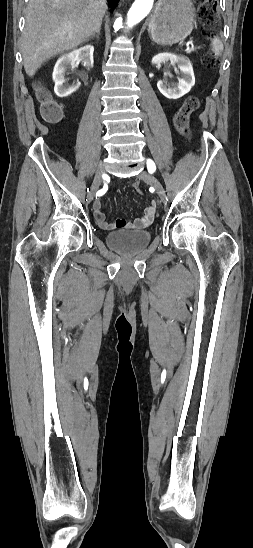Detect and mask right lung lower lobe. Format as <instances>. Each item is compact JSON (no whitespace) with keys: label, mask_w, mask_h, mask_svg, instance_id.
Returning a JSON list of instances; mask_svg holds the SVG:
<instances>
[{"label":"right lung lower lobe","mask_w":253,"mask_h":548,"mask_svg":"<svg viewBox=\"0 0 253 548\" xmlns=\"http://www.w3.org/2000/svg\"><path fill=\"white\" fill-rule=\"evenodd\" d=\"M108 2H109L111 5H115V4H117L118 0H108Z\"/></svg>","instance_id":"obj_1"}]
</instances>
